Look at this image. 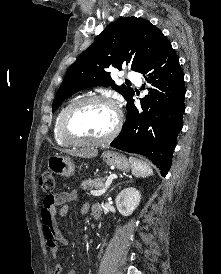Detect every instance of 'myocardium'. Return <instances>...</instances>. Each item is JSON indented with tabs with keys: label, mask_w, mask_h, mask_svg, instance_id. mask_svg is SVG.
Instances as JSON below:
<instances>
[{
	"label": "myocardium",
	"mask_w": 221,
	"mask_h": 274,
	"mask_svg": "<svg viewBox=\"0 0 221 274\" xmlns=\"http://www.w3.org/2000/svg\"><path fill=\"white\" fill-rule=\"evenodd\" d=\"M91 103H103L109 105L115 112V123L111 131L99 138H86L74 134L69 127V119L71 114L77 108ZM122 126V112L118 104L111 98L103 95H93L79 98L69 103L64 109L59 123V130L62 137L74 145H97L107 143L112 140L120 131Z\"/></svg>",
	"instance_id": "obj_1"
}]
</instances>
